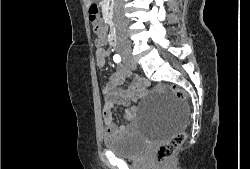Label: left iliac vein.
Wrapping results in <instances>:
<instances>
[{
	"mask_svg": "<svg viewBox=\"0 0 250 169\" xmlns=\"http://www.w3.org/2000/svg\"><path fill=\"white\" fill-rule=\"evenodd\" d=\"M127 65L131 69H136V63L133 60H130Z\"/></svg>",
	"mask_w": 250,
	"mask_h": 169,
	"instance_id": "obj_1",
	"label": "left iliac vein"
}]
</instances>
